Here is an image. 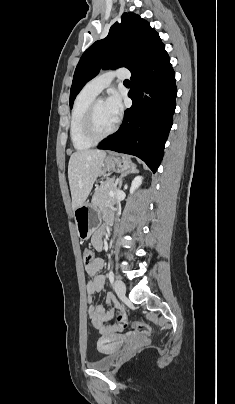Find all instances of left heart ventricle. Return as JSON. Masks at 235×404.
I'll use <instances>...</instances> for the list:
<instances>
[{"instance_id":"1","label":"left heart ventricle","mask_w":235,"mask_h":404,"mask_svg":"<svg viewBox=\"0 0 235 404\" xmlns=\"http://www.w3.org/2000/svg\"><path fill=\"white\" fill-rule=\"evenodd\" d=\"M96 131L98 134H103L108 131L113 125L114 121L108 114L105 102L98 101L95 112Z\"/></svg>"}]
</instances>
